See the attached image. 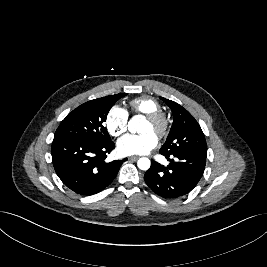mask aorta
<instances>
[{
  "label": "aorta",
  "mask_w": 267,
  "mask_h": 267,
  "mask_svg": "<svg viewBox=\"0 0 267 267\" xmlns=\"http://www.w3.org/2000/svg\"><path fill=\"white\" fill-rule=\"evenodd\" d=\"M142 120L141 116H134L128 123V129L131 133H135L138 130L139 122ZM137 166L141 170H148L151 166V162L148 158H140L137 162Z\"/></svg>",
  "instance_id": "aorta-1"
}]
</instances>
